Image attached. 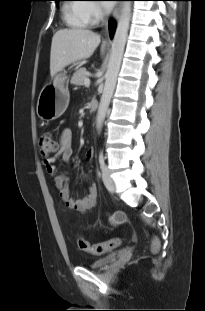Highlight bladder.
<instances>
[{"instance_id":"1","label":"bladder","mask_w":205,"mask_h":311,"mask_svg":"<svg viewBox=\"0 0 205 311\" xmlns=\"http://www.w3.org/2000/svg\"><path fill=\"white\" fill-rule=\"evenodd\" d=\"M115 259V254H109L103 258L94 260L88 265L89 269L101 270Z\"/></svg>"}]
</instances>
